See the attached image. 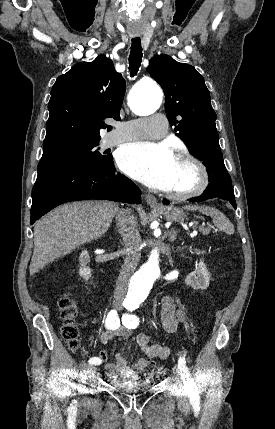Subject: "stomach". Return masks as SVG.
I'll return each instance as SVG.
<instances>
[{"label": "stomach", "mask_w": 275, "mask_h": 429, "mask_svg": "<svg viewBox=\"0 0 275 429\" xmlns=\"http://www.w3.org/2000/svg\"><path fill=\"white\" fill-rule=\"evenodd\" d=\"M157 212L162 214L164 218L168 221H182L184 219V213L182 210L173 207H160V208H154Z\"/></svg>", "instance_id": "0dacf381"}]
</instances>
